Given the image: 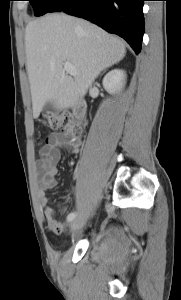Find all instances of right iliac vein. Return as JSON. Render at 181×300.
I'll return each mask as SVG.
<instances>
[{
	"instance_id": "63e3f726",
	"label": "right iliac vein",
	"mask_w": 181,
	"mask_h": 300,
	"mask_svg": "<svg viewBox=\"0 0 181 300\" xmlns=\"http://www.w3.org/2000/svg\"><path fill=\"white\" fill-rule=\"evenodd\" d=\"M85 216L84 215H80L77 218H75L72 222H71V230L75 231L77 230L85 221Z\"/></svg>"
}]
</instances>
